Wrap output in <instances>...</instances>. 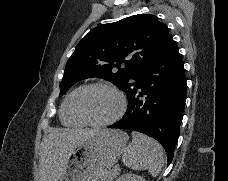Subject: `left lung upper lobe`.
<instances>
[{
    "instance_id": "5c2ea615",
    "label": "left lung upper lobe",
    "mask_w": 228,
    "mask_h": 181,
    "mask_svg": "<svg viewBox=\"0 0 228 181\" xmlns=\"http://www.w3.org/2000/svg\"><path fill=\"white\" fill-rule=\"evenodd\" d=\"M169 39L166 25L150 14L92 29L66 64L60 95L82 79L99 77L124 90L128 97L137 75Z\"/></svg>"
}]
</instances>
